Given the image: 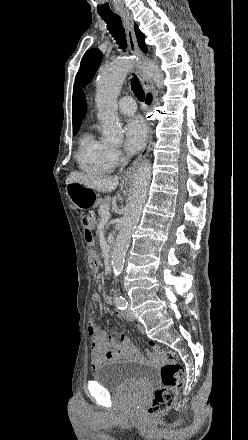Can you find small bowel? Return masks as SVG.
Listing matches in <instances>:
<instances>
[{
	"mask_svg": "<svg viewBox=\"0 0 248 440\" xmlns=\"http://www.w3.org/2000/svg\"><path fill=\"white\" fill-rule=\"evenodd\" d=\"M118 315L120 316L119 313ZM137 330L143 332V327L137 325ZM87 332L92 339L91 355L92 366L94 368L107 361H113L123 357L139 356L138 350L128 336L124 334L108 335L101 329L94 319L88 321ZM146 346L152 347L155 351H158L156 348L157 339L147 338Z\"/></svg>",
	"mask_w": 248,
	"mask_h": 440,
	"instance_id": "obj_1",
	"label": "small bowel"
}]
</instances>
